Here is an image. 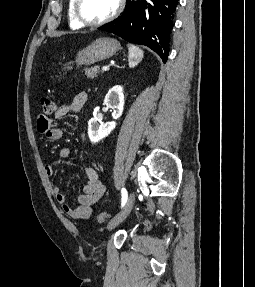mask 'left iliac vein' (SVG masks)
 <instances>
[{
	"label": "left iliac vein",
	"instance_id": "obj_1",
	"mask_svg": "<svg viewBox=\"0 0 255 287\" xmlns=\"http://www.w3.org/2000/svg\"><path fill=\"white\" fill-rule=\"evenodd\" d=\"M134 205V195L130 193L122 210L108 223V230H112L123 222L130 214Z\"/></svg>",
	"mask_w": 255,
	"mask_h": 287
}]
</instances>
